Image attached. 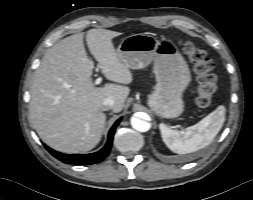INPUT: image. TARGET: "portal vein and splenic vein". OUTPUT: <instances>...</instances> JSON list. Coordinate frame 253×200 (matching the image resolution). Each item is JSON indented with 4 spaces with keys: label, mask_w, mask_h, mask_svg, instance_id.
<instances>
[{
    "label": "portal vein and splenic vein",
    "mask_w": 253,
    "mask_h": 200,
    "mask_svg": "<svg viewBox=\"0 0 253 200\" xmlns=\"http://www.w3.org/2000/svg\"><path fill=\"white\" fill-rule=\"evenodd\" d=\"M101 80H102L101 77L97 78L96 81H95V85L100 84V83H101Z\"/></svg>",
    "instance_id": "portal-vein-and-splenic-vein-1"
}]
</instances>
